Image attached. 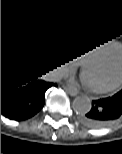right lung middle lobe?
I'll return each instance as SVG.
<instances>
[{
	"label": "right lung middle lobe",
	"mask_w": 122,
	"mask_h": 154,
	"mask_svg": "<svg viewBox=\"0 0 122 154\" xmlns=\"http://www.w3.org/2000/svg\"><path fill=\"white\" fill-rule=\"evenodd\" d=\"M33 28H34V30H35L36 32H38L40 35H44V34H43V28L41 27V25L35 24V25H33ZM42 49L45 50L44 47H43Z\"/></svg>",
	"instance_id": "dd1d6c3e"
}]
</instances>
